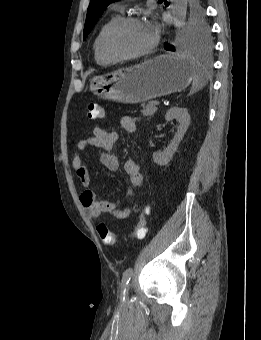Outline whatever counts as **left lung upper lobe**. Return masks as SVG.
<instances>
[{
	"label": "left lung upper lobe",
	"instance_id": "left-lung-upper-lobe-1",
	"mask_svg": "<svg viewBox=\"0 0 261 340\" xmlns=\"http://www.w3.org/2000/svg\"><path fill=\"white\" fill-rule=\"evenodd\" d=\"M118 0H90L84 27L83 39L91 32L105 9ZM187 19L184 42L192 48L208 50L211 47L210 29L205 20L200 0H187Z\"/></svg>",
	"mask_w": 261,
	"mask_h": 340
}]
</instances>
